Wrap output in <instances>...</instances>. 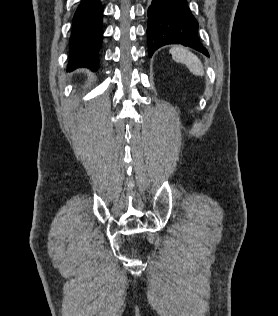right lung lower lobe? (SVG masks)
<instances>
[{"instance_id": "98d812e1", "label": "right lung lower lobe", "mask_w": 278, "mask_h": 316, "mask_svg": "<svg viewBox=\"0 0 278 316\" xmlns=\"http://www.w3.org/2000/svg\"><path fill=\"white\" fill-rule=\"evenodd\" d=\"M102 14L99 0L81 1L73 17L68 71L79 67L97 70L103 36Z\"/></svg>"}]
</instances>
